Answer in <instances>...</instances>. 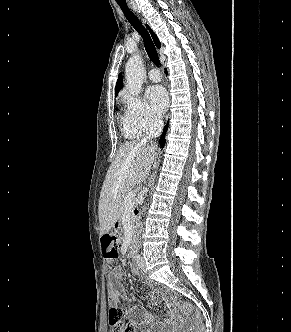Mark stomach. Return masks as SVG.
Here are the masks:
<instances>
[{"instance_id": "stomach-1", "label": "stomach", "mask_w": 291, "mask_h": 332, "mask_svg": "<svg viewBox=\"0 0 291 332\" xmlns=\"http://www.w3.org/2000/svg\"><path fill=\"white\" fill-rule=\"evenodd\" d=\"M115 229L118 228V223H115L114 226H113Z\"/></svg>"}]
</instances>
